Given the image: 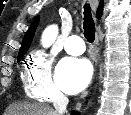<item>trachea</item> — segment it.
Instances as JSON below:
<instances>
[{
  "mask_svg": "<svg viewBox=\"0 0 131 115\" xmlns=\"http://www.w3.org/2000/svg\"><path fill=\"white\" fill-rule=\"evenodd\" d=\"M84 36L88 42L95 40V23L92 18L91 9L88 4L84 6Z\"/></svg>",
  "mask_w": 131,
  "mask_h": 115,
  "instance_id": "3493384b",
  "label": "trachea"
}]
</instances>
